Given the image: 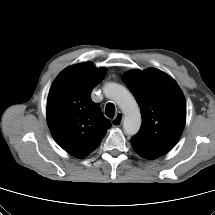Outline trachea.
I'll return each mask as SVG.
<instances>
[{
	"instance_id": "trachea-1",
	"label": "trachea",
	"mask_w": 215,
	"mask_h": 215,
	"mask_svg": "<svg viewBox=\"0 0 215 215\" xmlns=\"http://www.w3.org/2000/svg\"><path fill=\"white\" fill-rule=\"evenodd\" d=\"M106 115L109 118H113L115 115V106L112 103H107L106 105Z\"/></svg>"
}]
</instances>
